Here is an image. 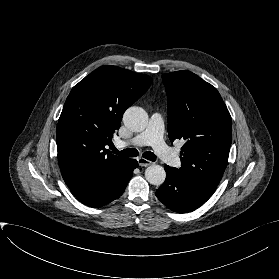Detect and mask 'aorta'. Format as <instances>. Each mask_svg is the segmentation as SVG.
<instances>
[{"label": "aorta", "mask_w": 279, "mask_h": 279, "mask_svg": "<svg viewBox=\"0 0 279 279\" xmlns=\"http://www.w3.org/2000/svg\"><path fill=\"white\" fill-rule=\"evenodd\" d=\"M124 125L134 132L143 131L148 123L146 111L140 107H130L123 115ZM145 178L152 185H161L166 178V172L160 165H150L145 170Z\"/></svg>", "instance_id": "1"}]
</instances>
